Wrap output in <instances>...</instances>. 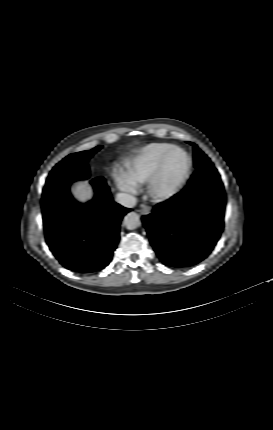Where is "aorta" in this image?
Returning <instances> with one entry per match:
<instances>
[{
  "mask_svg": "<svg viewBox=\"0 0 273 430\" xmlns=\"http://www.w3.org/2000/svg\"><path fill=\"white\" fill-rule=\"evenodd\" d=\"M140 224V216L136 212H130L124 218V225L129 230L136 229Z\"/></svg>",
  "mask_w": 273,
  "mask_h": 430,
  "instance_id": "762f6f07",
  "label": "aorta"
}]
</instances>
